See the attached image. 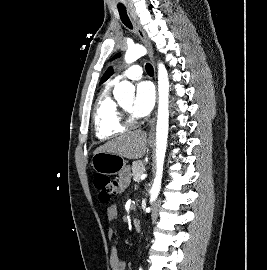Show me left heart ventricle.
<instances>
[{
	"label": "left heart ventricle",
	"instance_id": "b2bd125f",
	"mask_svg": "<svg viewBox=\"0 0 267 270\" xmlns=\"http://www.w3.org/2000/svg\"><path fill=\"white\" fill-rule=\"evenodd\" d=\"M122 106L126 108L128 111L132 112L131 107H132V100H128L122 103Z\"/></svg>",
	"mask_w": 267,
	"mask_h": 270
}]
</instances>
